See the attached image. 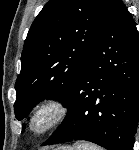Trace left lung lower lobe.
Masks as SVG:
<instances>
[{"label":"left lung lower lobe","instance_id":"left-lung-lower-lobe-1","mask_svg":"<svg viewBox=\"0 0 139 150\" xmlns=\"http://www.w3.org/2000/svg\"><path fill=\"white\" fill-rule=\"evenodd\" d=\"M64 106L65 119L42 145L86 140L107 150H133L139 120V37L121 0L113 3Z\"/></svg>","mask_w":139,"mask_h":150}]
</instances>
